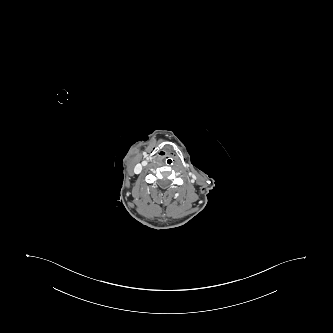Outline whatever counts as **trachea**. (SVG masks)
Here are the masks:
<instances>
[{
  "mask_svg": "<svg viewBox=\"0 0 333 333\" xmlns=\"http://www.w3.org/2000/svg\"><path fill=\"white\" fill-rule=\"evenodd\" d=\"M160 162H161V164H162L163 166H165V167H169V166H171V165L173 164L174 159H173V157H172L171 155H169V154H165V155H163V156L161 157Z\"/></svg>",
  "mask_w": 333,
  "mask_h": 333,
  "instance_id": "obj_1",
  "label": "trachea"
}]
</instances>
